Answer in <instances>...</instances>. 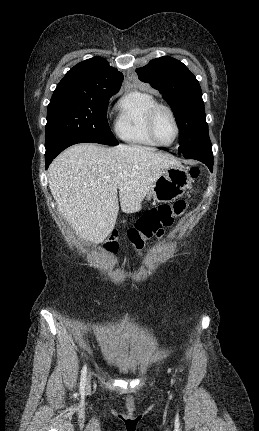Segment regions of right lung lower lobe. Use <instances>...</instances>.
<instances>
[{
	"mask_svg": "<svg viewBox=\"0 0 259 431\" xmlns=\"http://www.w3.org/2000/svg\"><path fill=\"white\" fill-rule=\"evenodd\" d=\"M84 142H88L85 139L82 138H76V137H71V138H63L60 139L56 142H53L51 145L49 146H45L46 152H45V166L46 169L48 168V166L50 165V163L52 162V160L59 154L61 153L64 149H66L67 147L73 145V144H77V143H84Z\"/></svg>",
	"mask_w": 259,
	"mask_h": 431,
	"instance_id": "obj_1",
	"label": "right lung lower lobe"
}]
</instances>
